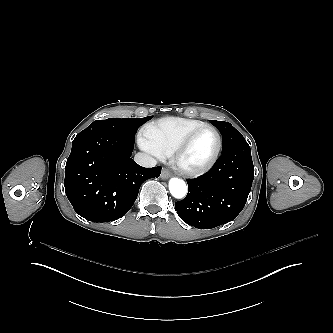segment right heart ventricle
<instances>
[{
  "mask_svg": "<svg viewBox=\"0 0 333 333\" xmlns=\"http://www.w3.org/2000/svg\"><path fill=\"white\" fill-rule=\"evenodd\" d=\"M197 119L170 117L144 125L138 134V143L145 150L159 157H169L190 130L204 125Z\"/></svg>",
  "mask_w": 333,
  "mask_h": 333,
  "instance_id": "obj_1",
  "label": "right heart ventricle"
}]
</instances>
